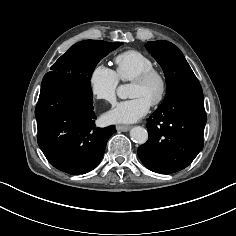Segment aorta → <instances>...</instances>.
<instances>
[{"label":"aorta","mask_w":236,"mask_h":236,"mask_svg":"<svg viewBox=\"0 0 236 236\" xmlns=\"http://www.w3.org/2000/svg\"><path fill=\"white\" fill-rule=\"evenodd\" d=\"M117 96L121 99H127L129 97V87L128 85H120L117 88ZM131 139L139 144H144L148 140V132L145 128L140 126H135L130 131Z\"/></svg>","instance_id":"aorta-1"}]
</instances>
